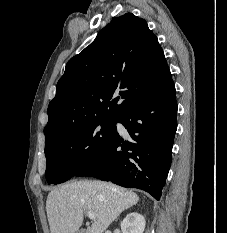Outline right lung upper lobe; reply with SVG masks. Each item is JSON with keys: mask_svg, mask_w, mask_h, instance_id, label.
<instances>
[{"mask_svg": "<svg viewBox=\"0 0 227 233\" xmlns=\"http://www.w3.org/2000/svg\"><path fill=\"white\" fill-rule=\"evenodd\" d=\"M170 81L164 53L146 21L132 13L114 17L68 61L48 106L46 142L93 120L118 119Z\"/></svg>", "mask_w": 227, "mask_h": 233, "instance_id": "obj_1", "label": "right lung upper lobe"}]
</instances>
